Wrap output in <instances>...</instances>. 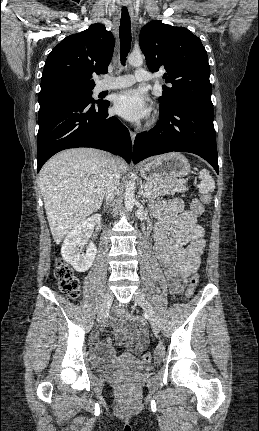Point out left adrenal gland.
<instances>
[{"mask_svg": "<svg viewBox=\"0 0 259 431\" xmlns=\"http://www.w3.org/2000/svg\"><path fill=\"white\" fill-rule=\"evenodd\" d=\"M145 202H146V201L143 199V200H142V203H145Z\"/></svg>", "mask_w": 259, "mask_h": 431, "instance_id": "1", "label": "left adrenal gland"}]
</instances>
